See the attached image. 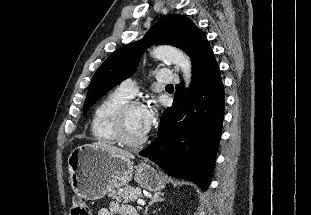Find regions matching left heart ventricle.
Instances as JSON below:
<instances>
[{
    "label": "left heart ventricle",
    "mask_w": 311,
    "mask_h": 215,
    "mask_svg": "<svg viewBox=\"0 0 311 215\" xmlns=\"http://www.w3.org/2000/svg\"><path fill=\"white\" fill-rule=\"evenodd\" d=\"M143 108L131 109L126 115V130L130 138L137 140L145 136L141 128V115Z\"/></svg>",
    "instance_id": "1"
}]
</instances>
